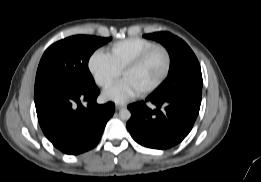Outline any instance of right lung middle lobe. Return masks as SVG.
I'll use <instances>...</instances> for the list:
<instances>
[{"label": "right lung middle lobe", "mask_w": 261, "mask_h": 182, "mask_svg": "<svg viewBox=\"0 0 261 182\" xmlns=\"http://www.w3.org/2000/svg\"><path fill=\"white\" fill-rule=\"evenodd\" d=\"M110 38L76 35L52 44L39 63L35 90L60 83L79 93H90L97 88L88 69L92 53L109 42Z\"/></svg>", "instance_id": "dd1d6c3e"}]
</instances>
